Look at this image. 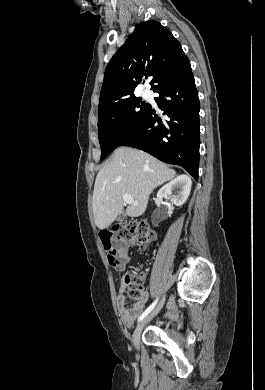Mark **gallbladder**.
Here are the masks:
<instances>
[{
  "label": "gallbladder",
  "instance_id": "1",
  "mask_svg": "<svg viewBox=\"0 0 265 390\" xmlns=\"http://www.w3.org/2000/svg\"><path fill=\"white\" fill-rule=\"evenodd\" d=\"M125 216H126V213L124 211H121L119 213V215L117 216V221L118 222H123V220L125 219Z\"/></svg>",
  "mask_w": 265,
  "mask_h": 390
}]
</instances>
